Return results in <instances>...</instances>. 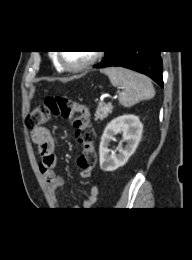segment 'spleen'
I'll use <instances>...</instances> for the list:
<instances>
[{
    "mask_svg": "<svg viewBox=\"0 0 192 260\" xmlns=\"http://www.w3.org/2000/svg\"><path fill=\"white\" fill-rule=\"evenodd\" d=\"M101 72L108 76L113 86L123 87V91L119 94V102L124 107H131L155 96L154 87L145 75L122 67H109L102 69Z\"/></svg>",
    "mask_w": 192,
    "mask_h": 260,
    "instance_id": "spleen-1",
    "label": "spleen"
}]
</instances>
